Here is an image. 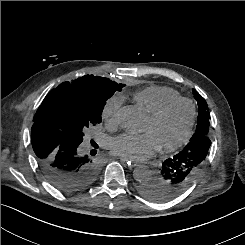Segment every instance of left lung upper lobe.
Segmentation results:
<instances>
[{"label":"left lung upper lobe","mask_w":245,"mask_h":245,"mask_svg":"<svg viewBox=\"0 0 245 245\" xmlns=\"http://www.w3.org/2000/svg\"><path fill=\"white\" fill-rule=\"evenodd\" d=\"M192 91L195 96V99L198 102L199 114H198L196 131L190 140L208 135L209 118H210V113L205 99L195 89H192Z\"/></svg>","instance_id":"1"}]
</instances>
